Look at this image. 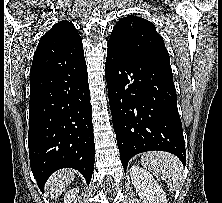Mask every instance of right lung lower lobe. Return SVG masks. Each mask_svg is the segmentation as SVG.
Wrapping results in <instances>:
<instances>
[{"instance_id": "obj_1", "label": "right lung lower lobe", "mask_w": 222, "mask_h": 203, "mask_svg": "<svg viewBox=\"0 0 222 203\" xmlns=\"http://www.w3.org/2000/svg\"><path fill=\"white\" fill-rule=\"evenodd\" d=\"M29 105L30 166L40 190L61 168L89 184L95 148L86 63L30 74Z\"/></svg>"}]
</instances>
